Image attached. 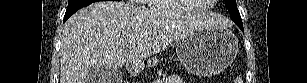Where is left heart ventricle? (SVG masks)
Masks as SVG:
<instances>
[{
  "label": "left heart ventricle",
  "mask_w": 307,
  "mask_h": 83,
  "mask_svg": "<svg viewBox=\"0 0 307 83\" xmlns=\"http://www.w3.org/2000/svg\"><path fill=\"white\" fill-rule=\"evenodd\" d=\"M199 1L201 0H181V3L185 8L191 9L201 6Z\"/></svg>",
  "instance_id": "left-heart-ventricle-1"
}]
</instances>
